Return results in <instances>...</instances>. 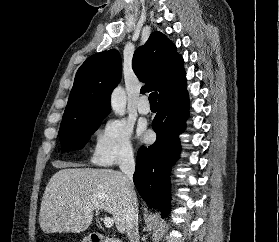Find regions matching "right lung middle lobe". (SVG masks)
<instances>
[{"label": "right lung middle lobe", "instance_id": "obj_1", "mask_svg": "<svg viewBox=\"0 0 279 242\" xmlns=\"http://www.w3.org/2000/svg\"><path fill=\"white\" fill-rule=\"evenodd\" d=\"M102 120L101 117H93L77 124L60 126L59 136L62 151L69 152L71 149L83 148Z\"/></svg>", "mask_w": 279, "mask_h": 242}]
</instances>
